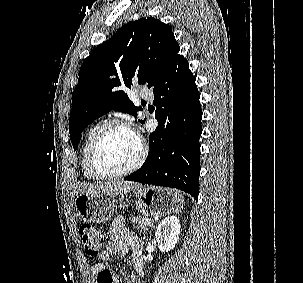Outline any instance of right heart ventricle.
Here are the masks:
<instances>
[{
	"mask_svg": "<svg viewBox=\"0 0 303 283\" xmlns=\"http://www.w3.org/2000/svg\"><path fill=\"white\" fill-rule=\"evenodd\" d=\"M101 124H102L101 122H97L88 129V131L85 134L83 144L81 147V168L84 176L91 181H98L101 179L93 172L88 161V151H89L90 143L96 131L101 126Z\"/></svg>",
	"mask_w": 303,
	"mask_h": 283,
	"instance_id": "right-heart-ventricle-1",
	"label": "right heart ventricle"
}]
</instances>
